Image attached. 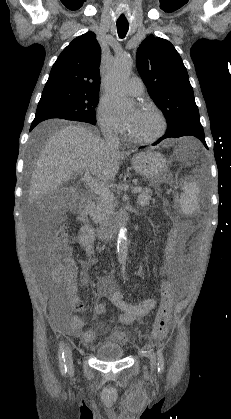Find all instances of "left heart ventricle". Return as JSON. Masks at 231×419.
Wrapping results in <instances>:
<instances>
[{"label":"left heart ventricle","mask_w":231,"mask_h":419,"mask_svg":"<svg viewBox=\"0 0 231 419\" xmlns=\"http://www.w3.org/2000/svg\"><path fill=\"white\" fill-rule=\"evenodd\" d=\"M129 131L140 138H148L158 132L160 122L157 115L150 110L133 109L126 116Z\"/></svg>","instance_id":"b2bd125f"}]
</instances>
